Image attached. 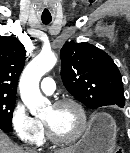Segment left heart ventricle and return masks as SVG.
Wrapping results in <instances>:
<instances>
[{
  "label": "left heart ventricle",
  "instance_id": "obj_1",
  "mask_svg": "<svg viewBox=\"0 0 130 153\" xmlns=\"http://www.w3.org/2000/svg\"><path fill=\"white\" fill-rule=\"evenodd\" d=\"M43 119L60 137H72L80 126L79 113L71 105L50 106Z\"/></svg>",
  "mask_w": 130,
  "mask_h": 153
}]
</instances>
